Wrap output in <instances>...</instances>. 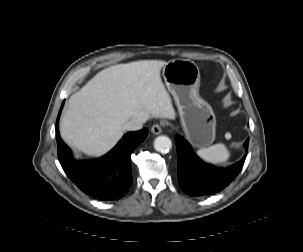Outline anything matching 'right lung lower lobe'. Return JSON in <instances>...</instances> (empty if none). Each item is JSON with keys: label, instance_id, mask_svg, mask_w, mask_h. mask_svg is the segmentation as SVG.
<instances>
[{"label": "right lung lower lobe", "instance_id": "obj_1", "mask_svg": "<svg viewBox=\"0 0 303 252\" xmlns=\"http://www.w3.org/2000/svg\"><path fill=\"white\" fill-rule=\"evenodd\" d=\"M56 138L60 164L67 176L83 192L100 200H115L123 197L132 184L131 160L133 150L146 138V128L130 132L123 136L119 143L105 156L91 161H76L69 147L59 134V117Z\"/></svg>", "mask_w": 303, "mask_h": 252}]
</instances>
